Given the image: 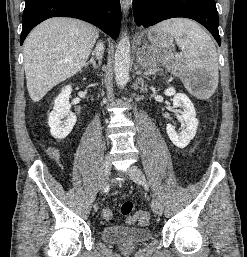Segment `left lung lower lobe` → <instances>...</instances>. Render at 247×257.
Here are the masks:
<instances>
[{"label":"left lung lower lobe","mask_w":247,"mask_h":257,"mask_svg":"<svg viewBox=\"0 0 247 257\" xmlns=\"http://www.w3.org/2000/svg\"><path fill=\"white\" fill-rule=\"evenodd\" d=\"M133 14L137 25L144 27L175 17L196 20L220 45L215 0H133Z\"/></svg>","instance_id":"1"}]
</instances>
